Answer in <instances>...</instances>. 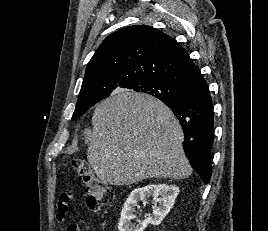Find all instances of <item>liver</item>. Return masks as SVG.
<instances>
[{"instance_id": "obj_1", "label": "liver", "mask_w": 268, "mask_h": 231, "mask_svg": "<svg viewBox=\"0 0 268 231\" xmlns=\"http://www.w3.org/2000/svg\"><path fill=\"white\" fill-rule=\"evenodd\" d=\"M92 125V132H85L87 160L102 183L180 180L192 174L180 123L163 102L150 95L118 90L96 106Z\"/></svg>"}]
</instances>
